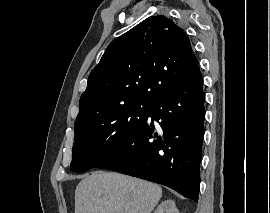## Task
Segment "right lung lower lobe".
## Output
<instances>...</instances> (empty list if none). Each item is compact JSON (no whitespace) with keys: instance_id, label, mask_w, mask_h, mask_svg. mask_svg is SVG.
<instances>
[{"instance_id":"right-lung-lower-lobe-1","label":"right lung lower lobe","mask_w":270,"mask_h":213,"mask_svg":"<svg viewBox=\"0 0 270 213\" xmlns=\"http://www.w3.org/2000/svg\"><path fill=\"white\" fill-rule=\"evenodd\" d=\"M202 83L197 67L152 105L148 117L158 125L146 121L96 168L163 184L197 201L205 117Z\"/></svg>"}]
</instances>
